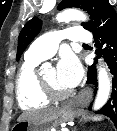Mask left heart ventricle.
Returning a JSON list of instances; mask_svg holds the SVG:
<instances>
[{
	"label": "left heart ventricle",
	"mask_w": 117,
	"mask_h": 131,
	"mask_svg": "<svg viewBox=\"0 0 117 131\" xmlns=\"http://www.w3.org/2000/svg\"><path fill=\"white\" fill-rule=\"evenodd\" d=\"M44 79L50 83L54 88H56L59 91H68V88H65L62 86L57 77V70L55 68H49L48 70L45 71L43 74Z\"/></svg>",
	"instance_id": "left-heart-ventricle-1"
}]
</instances>
